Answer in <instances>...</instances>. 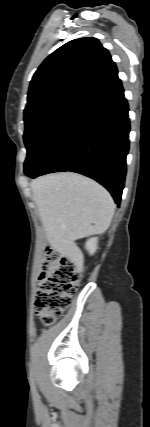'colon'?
<instances>
[{
    "label": "colon",
    "instance_id": "obj_1",
    "mask_svg": "<svg viewBox=\"0 0 150 427\" xmlns=\"http://www.w3.org/2000/svg\"><path fill=\"white\" fill-rule=\"evenodd\" d=\"M80 278L81 271L72 258L47 252L35 300L36 314L44 324H54L68 308Z\"/></svg>",
    "mask_w": 150,
    "mask_h": 427
}]
</instances>
